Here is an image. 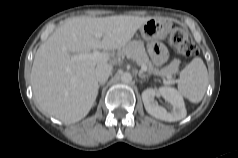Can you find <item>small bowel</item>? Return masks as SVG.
Returning <instances> with one entry per match:
<instances>
[{
	"label": "small bowel",
	"mask_w": 238,
	"mask_h": 158,
	"mask_svg": "<svg viewBox=\"0 0 238 158\" xmlns=\"http://www.w3.org/2000/svg\"><path fill=\"white\" fill-rule=\"evenodd\" d=\"M148 50L152 58L157 63H164L167 58L166 49L162 44L159 43H151L148 46Z\"/></svg>",
	"instance_id": "c3829d8e"
}]
</instances>
